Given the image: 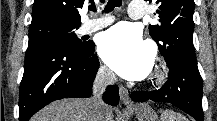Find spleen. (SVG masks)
<instances>
[{
	"instance_id": "spleen-1",
	"label": "spleen",
	"mask_w": 217,
	"mask_h": 121,
	"mask_svg": "<svg viewBox=\"0 0 217 121\" xmlns=\"http://www.w3.org/2000/svg\"><path fill=\"white\" fill-rule=\"evenodd\" d=\"M161 121H187V119L174 111H164L161 115Z\"/></svg>"
}]
</instances>
